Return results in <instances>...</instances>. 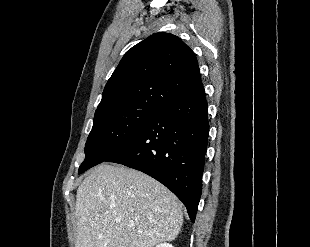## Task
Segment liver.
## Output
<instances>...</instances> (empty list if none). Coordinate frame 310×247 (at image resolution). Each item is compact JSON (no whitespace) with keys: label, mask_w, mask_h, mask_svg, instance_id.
I'll use <instances>...</instances> for the list:
<instances>
[{"label":"liver","mask_w":310,"mask_h":247,"mask_svg":"<svg viewBox=\"0 0 310 247\" xmlns=\"http://www.w3.org/2000/svg\"><path fill=\"white\" fill-rule=\"evenodd\" d=\"M182 207L147 174L101 164L77 190L75 247H154L172 241L183 224Z\"/></svg>","instance_id":"6515ba94"}]
</instances>
